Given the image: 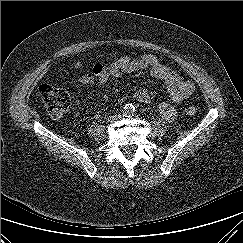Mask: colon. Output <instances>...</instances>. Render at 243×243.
Masks as SVG:
<instances>
[{
  "label": "colon",
  "mask_w": 243,
  "mask_h": 243,
  "mask_svg": "<svg viewBox=\"0 0 243 243\" xmlns=\"http://www.w3.org/2000/svg\"><path fill=\"white\" fill-rule=\"evenodd\" d=\"M78 67L79 65L74 66V68ZM39 94L47 112L54 119L62 118L70 108V97L61 88L44 84L40 86ZM196 111L197 108L192 102L188 103L185 107L187 115H194Z\"/></svg>",
  "instance_id": "obj_1"
}]
</instances>
